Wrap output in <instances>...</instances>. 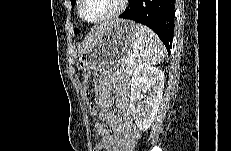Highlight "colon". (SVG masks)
<instances>
[{
    "label": "colon",
    "mask_w": 231,
    "mask_h": 151,
    "mask_svg": "<svg viewBox=\"0 0 231 151\" xmlns=\"http://www.w3.org/2000/svg\"><path fill=\"white\" fill-rule=\"evenodd\" d=\"M84 91L87 104L97 118V123L101 122L99 118L100 107H99V98L97 94V80L96 75L92 72H88L84 76ZM96 151H108L106 145L100 143L97 145Z\"/></svg>",
    "instance_id": "5ec220e1"
}]
</instances>
